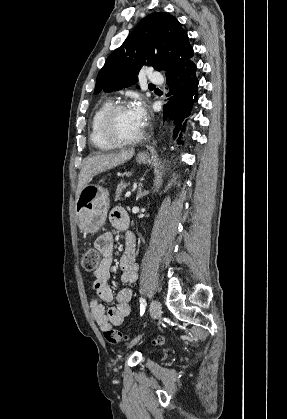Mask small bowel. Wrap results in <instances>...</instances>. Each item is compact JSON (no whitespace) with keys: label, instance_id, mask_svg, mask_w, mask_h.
Masks as SVG:
<instances>
[{"label":"small bowel","instance_id":"obj_1","mask_svg":"<svg viewBox=\"0 0 287 419\" xmlns=\"http://www.w3.org/2000/svg\"><path fill=\"white\" fill-rule=\"evenodd\" d=\"M110 222L116 229H126L129 225V217L126 210L122 207H115L110 214ZM113 246L114 239L110 232L101 234L94 243V247L102 254L103 259L95 271L93 288L97 293L98 299L104 302H111L114 298L113 291L108 285ZM119 264L121 281L126 284L134 282L137 278L138 266L136 263L135 238L131 233L126 235V246ZM131 298L132 290L123 288L117 293L116 305L108 309L98 299L90 301L91 313L101 330L106 331L112 326H119L123 323L124 318L131 313Z\"/></svg>","mask_w":287,"mask_h":419}]
</instances>
